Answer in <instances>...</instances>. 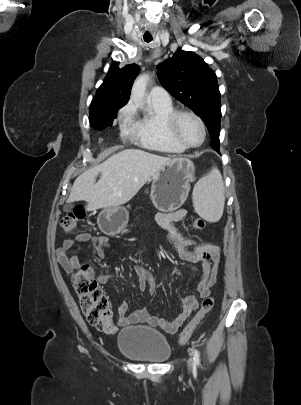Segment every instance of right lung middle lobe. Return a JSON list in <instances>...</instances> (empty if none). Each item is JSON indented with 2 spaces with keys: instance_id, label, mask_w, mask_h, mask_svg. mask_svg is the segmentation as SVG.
I'll use <instances>...</instances> for the list:
<instances>
[{
  "instance_id": "dd1d6c3e",
  "label": "right lung middle lobe",
  "mask_w": 301,
  "mask_h": 405,
  "mask_svg": "<svg viewBox=\"0 0 301 405\" xmlns=\"http://www.w3.org/2000/svg\"><path fill=\"white\" fill-rule=\"evenodd\" d=\"M119 109H105L101 107H90V125L96 129H104L107 126H111L113 120L117 116Z\"/></svg>"
}]
</instances>
